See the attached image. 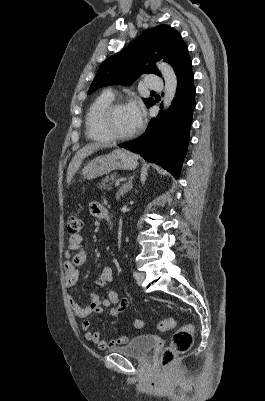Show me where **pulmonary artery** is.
<instances>
[{"label":"pulmonary artery","mask_w":265,"mask_h":401,"mask_svg":"<svg viewBox=\"0 0 265 401\" xmlns=\"http://www.w3.org/2000/svg\"><path fill=\"white\" fill-rule=\"evenodd\" d=\"M149 90H163L164 83L161 75H149L147 78Z\"/></svg>","instance_id":"obj_1"}]
</instances>
